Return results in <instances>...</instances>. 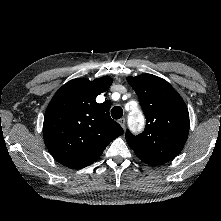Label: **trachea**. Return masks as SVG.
<instances>
[{
  "label": "trachea",
  "mask_w": 221,
  "mask_h": 221,
  "mask_svg": "<svg viewBox=\"0 0 221 221\" xmlns=\"http://www.w3.org/2000/svg\"><path fill=\"white\" fill-rule=\"evenodd\" d=\"M111 115H112V118L114 119H120L123 115L122 108L120 106L113 107L111 110Z\"/></svg>",
  "instance_id": "trachea-1"
}]
</instances>
